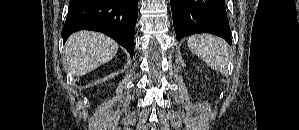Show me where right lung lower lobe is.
Here are the masks:
<instances>
[{
    "instance_id": "right-lung-lower-lobe-1",
    "label": "right lung lower lobe",
    "mask_w": 299,
    "mask_h": 130,
    "mask_svg": "<svg viewBox=\"0 0 299 130\" xmlns=\"http://www.w3.org/2000/svg\"><path fill=\"white\" fill-rule=\"evenodd\" d=\"M138 0H70L62 29L64 42L78 30L102 32L133 57Z\"/></svg>"
}]
</instances>
